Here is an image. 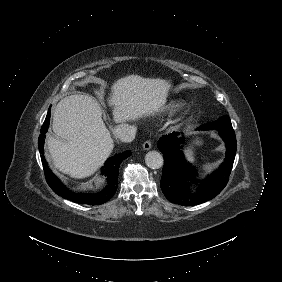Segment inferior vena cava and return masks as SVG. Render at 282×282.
<instances>
[{"label": "inferior vena cava", "mask_w": 282, "mask_h": 282, "mask_svg": "<svg viewBox=\"0 0 282 282\" xmlns=\"http://www.w3.org/2000/svg\"><path fill=\"white\" fill-rule=\"evenodd\" d=\"M136 129L127 124L117 125L114 129L115 137L121 142H131L135 138Z\"/></svg>", "instance_id": "obj_1"}]
</instances>
